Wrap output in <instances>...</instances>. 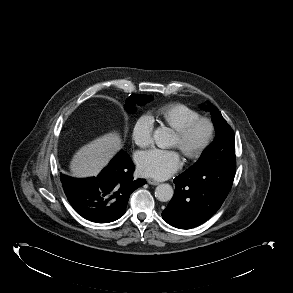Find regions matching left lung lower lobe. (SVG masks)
Segmentation results:
<instances>
[{
    "instance_id": "left-lung-lower-lobe-1",
    "label": "left lung lower lobe",
    "mask_w": 293,
    "mask_h": 293,
    "mask_svg": "<svg viewBox=\"0 0 293 293\" xmlns=\"http://www.w3.org/2000/svg\"><path fill=\"white\" fill-rule=\"evenodd\" d=\"M236 164L221 169H188L174 179L175 194L162 212L163 219L179 229L208 220L221 207L235 176Z\"/></svg>"
}]
</instances>
